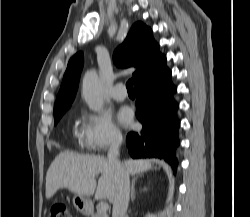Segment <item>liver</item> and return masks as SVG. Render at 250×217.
Listing matches in <instances>:
<instances>
[{
  "label": "liver",
  "instance_id": "6515ba94",
  "mask_svg": "<svg viewBox=\"0 0 250 217\" xmlns=\"http://www.w3.org/2000/svg\"><path fill=\"white\" fill-rule=\"evenodd\" d=\"M122 166L128 175H137L152 168L151 160H125ZM101 177L96 182V176ZM95 199H108L113 202L116 180L114 169L108 159L101 156L80 155L61 152L51 163L46 174V198L50 199L59 189Z\"/></svg>",
  "mask_w": 250,
  "mask_h": 217
}]
</instances>
